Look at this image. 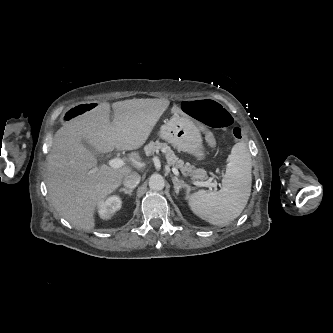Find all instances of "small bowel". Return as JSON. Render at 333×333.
Masks as SVG:
<instances>
[{"label":"small bowel","mask_w":333,"mask_h":333,"mask_svg":"<svg viewBox=\"0 0 333 333\" xmlns=\"http://www.w3.org/2000/svg\"><path fill=\"white\" fill-rule=\"evenodd\" d=\"M172 111L176 116H179L181 118L187 119L190 122L193 123V126L200 131H202L207 137L208 142L211 144L210 146L213 148L215 145L213 144L215 142V136L214 133L208 129L206 125H204L202 122L194 120L192 117L189 116V113L187 111L180 110L177 106H173Z\"/></svg>","instance_id":"small-bowel-1"}]
</instances>
